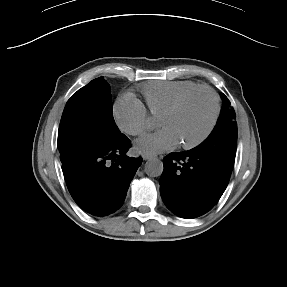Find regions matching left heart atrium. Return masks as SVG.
<instances>
[{
  "label": "left heart atrium",
  "instance_id": "left-heart-atrium-1",
  "mask_svg": "<svg viewBox=\"0 0 287 287\" xmlns=\"http://www.w3.org/2000/svg\"><path fill=\"white\" fill-rule=\"evenodd\" d=\"M178 143L174 133L168 128H163L154 134L140 138L136 142V148L144 153L156 154L172 149Z\"/></svg>",
  "mask_w": 287,
  "mask_h": 287
}]
</instances>
